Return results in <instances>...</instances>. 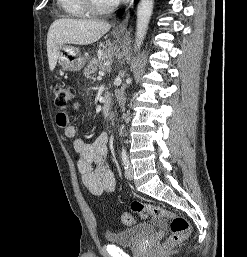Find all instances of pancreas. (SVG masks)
<instances>
[{"label":"pancreas","mask_w":247,"mask_h":257,"mask_svg":"<svg viewBox=\"0 0 247 257\" xmlns=\"http://www.w3.org/2000/svg\"><path fill=\"white\" fill-rule=\"evenodd\" d=\"M105 63V53L103 54L102 59H92L88 65L83 70V75L87 78H91L92 75L97 71V69L105 70L108 67L104 65Z\"/></svg>","instance_id":"cf45deb5"}]
</instances>
